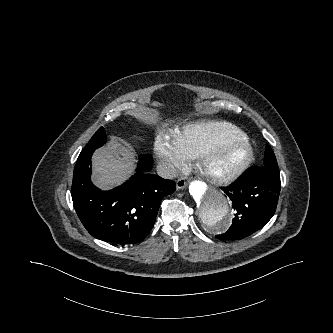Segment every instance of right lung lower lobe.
I'll use <instances>...</instances> for the list:
<instances>
[{
  "instance_id": "98d812e1",
  "label": "right lung lower lobe",
  "mask_w": 333,
  "mask_h": 333,
  "mask_svg": "<svg viewBox=\"0 0 333 333\" xmlns=\"http://www.w3.org/2000/svg\"><path fill=\"white\" fill-rule=\"evenodd\" d=\"M93 152L83 150L74 169L71 195L78 217L100 240L118 245L142 241L154 226L161 200L175 191V182L149 173L153 160L144 155L126 183L101 191L90 180Z\"/></svg>"
}]
</instances>
